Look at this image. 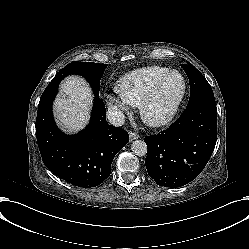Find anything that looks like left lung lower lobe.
I'll return each instance as SVG.
<instances>
[{"label":"left lung lower lobe","instance_id":"obj_1","mask_svg":"<svg viewBox=\"0 0 249 249\" xmlns=\"http://www.w3.org/2000/svg\"><path fill=\"white\" fill-rule=\"evenodd\" d=\"M217 140L214 98L187 105L181 116L158 135L146 136L145 165L149 176L164 187H181L206 166Z\"/></svg>","mask_w":249,"mask_h":249}]
</instances>
